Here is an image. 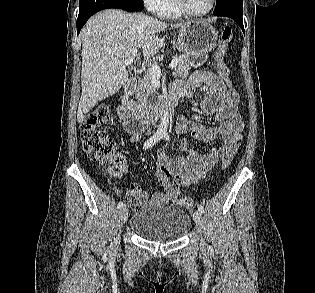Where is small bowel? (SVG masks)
Returning <instances> with one entry per match:
<instances>
[{
  "instance_id": "obj_1",
  "label": "small bowel",
  "mask_w": 315,
  "mask_h": 293,
  "mask_svg": "<svg viewBox=\"0 0 315 293\" xmlns=\"http://www.w3.org/2000/svg\"><path fill=\"white\" fill-rule=\"evenodd\" d=\"M227 88V85H222L217 75L209 71H197L188 81L173 84L172 92L188 101L205 90L206 95L201 101V109L220 122L217 126L206 127L184 115L178 119L175 133L181 135L189 132L192 139L204 143H210L220 137L222 144L210 152L201 153L191 147L189 140L183 139L180 142V149L186 155L177 158H169L163 149L160 150L155 176L162 186V191L148 199L147 192L139 185L133 184L131 186L138 190H128L127 204L140 211L150 203L176 202L182 187L198 182L219 160L231 161L241 144L244 123L238 112V94L237 92L230 94ZM139 138V134L132 136L134 142ZM117 195H121V192L117 191Z\"/></svg>"
}]
</instances>
